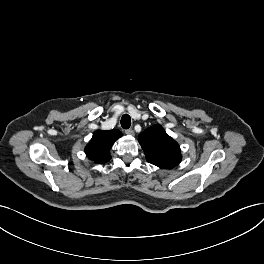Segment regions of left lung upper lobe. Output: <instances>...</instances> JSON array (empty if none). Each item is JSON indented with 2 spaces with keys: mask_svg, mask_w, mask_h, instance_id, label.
I'll return each instance as SVG.
<instances>
[{
  "mask_svg": "<svg viewBox=\"0 0 264 264\" xmlns=\"http://www.w3.org/2000/svg\"><path fill=\"white\" fill-rule=\"evenodd\" d=\"M146 160L160 168L171 169L182 159L178 143L160 125H154L139 135Z\"/></svg>",
  "mask_w": 264,
  "mask_h": 264,
  "instance_id": "5c2ea615",
  "label": "left lung upper lobe"
}]
</instances>
